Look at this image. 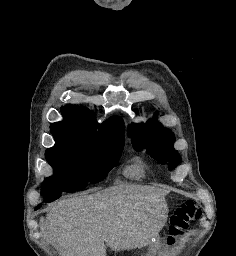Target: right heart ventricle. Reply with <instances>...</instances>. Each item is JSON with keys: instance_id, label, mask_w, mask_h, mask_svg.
Here are the masks:
<instances>
[{"instance_id": "e07e8e85", "label": "right heart ventricle", "mask_w": 236, "mask_h": 256, "mask_svg": "<svg viewBox=\"0 0 236 256\" xmlns=\"http://www.w3.org/2000/svg\"><path fill=\"white\" fill-rule=\"evenodd\" d=\"M124 174L130 179L142 180L146 176V165L142 161H136L125 169Z\"/></svg>"}]
</instances>
